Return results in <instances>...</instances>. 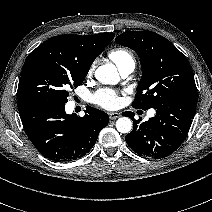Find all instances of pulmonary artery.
Segmentation results:
<instances>
[{"label": "pulmonary artery", "instance_id": "1", "mask_svg": "<svg viewBox=\"0 0 212 212\" xmlns=\"http://www.w3.org/2000/svg\"><path fill=\"white\" fill-rule=\"evenodd\" d=\"M134 68H135V63L130 62V63H127L126 65L122 66L119 69V71L123 77H127L129 74H131L133 72ZM147 115H148V117H153L155 115V111L150 110Z\"/></svg>", "mask_w": 212, "mask_h": 212}]
</instances>
